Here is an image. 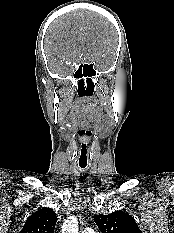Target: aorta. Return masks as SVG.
<instances>
[{
	"label": "aorta",
	"instance_id": "aorta-1",
	"mask_svg": "<svg viewBox=\"0 0 174 233\" xmlns=\"http://www.w3.org/2000/svg\"><path fill=\"white\" fill-rule=\"evenodd\" d=\"M61 233H78V221L75 216H70L64 221Z\"/></svg>",
	"mask_w": 174,
	"mask_h": 233
}]
</instances>
